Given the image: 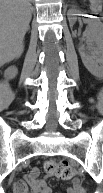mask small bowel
I'll use <instances>...</instances> for the list:
<instances>
[{
    "label": "small bowel",
    "mask_w": 103,
    "mask_h": 193,
    "mask_svg": "<svg viewBox=\"0 0 103 193\" xmlns=\"http://www.w3.org/2000/svg\"><path fill=\"white\" fill-rule=\"evenodd\" d=\"M39 173V168L34 167L26 176V181L31 188L30 193H51L46 181L43 178H39ZM14 190L16 193H28V186L25 182L17 181L14 184ZM66 193H84V190L78 181H74L67 188Z\"/></svg>",
    "instance_id": "obj_1"
}]
</instances>
